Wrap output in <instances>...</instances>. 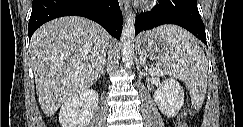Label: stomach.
<instances>
[{
	"instance_id": "stomach-1",
	"label": "stomach",
	"mask_w": 243,
	"mask_h": 127,
	"mask_svg": "<svg viewBox=\"0 0 243 127\" xmlns=\"http://www.w3.org/2000/svg\"><path fill=\"white\" fill-rule=\"evenodd\" d=\"M162 27L143 33L138 40L141 56L154 60H161L165 54H170L171 49L167 40L160 35Z\"/></svg>"
}]
</instances>
